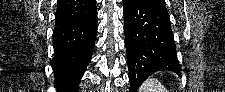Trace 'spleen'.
I'll list each match as a JSON object with an SVG mask.
<instances>
[{
	"instance_id": "spleen-1",
	"label": "spleen",
	"mask_w": 225,
	"mask_h": 92,
	"mask_svg": "<svg viewBox=\"0 0 225 92\" xmlns=\"http://www.w3.org/2000/svg\"><path fill=\"white\" fill-rule=\"evenodd\" d=\"M139 92H167V89L157 79L148 78L139 88Z\"/></svg>"
}]
</instances>
